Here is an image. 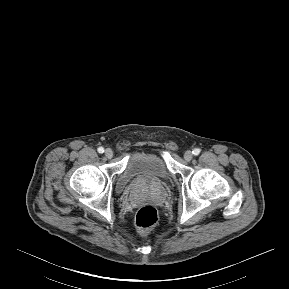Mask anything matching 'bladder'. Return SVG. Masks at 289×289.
Listing matches in <instances>:
<instances>
[{
    "instance_id": "31cf9c89",
    "label": "bladder",
    "mask_w": 289,
    "mask_h": 289,
    "mask_svg": "<svg viewBox=\"0 0 289 289\" xmlns=\"http://www.w3.org/2000/svg\"><path fill=\"white\" fill-rule=\"evenodd\" d=\"M170 178V171L160 156L137 152L128 159L117 180L116 189L122 192L132 184L160 185L169 182Z\"/></svg>"
}]
</instances>
